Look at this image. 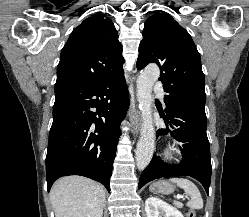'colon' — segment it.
Instances as JSON below:
<instances>
[{"instance_id": "1", "label": "colon", "mask_w": 249, "mask_h": 217, "mask_svg": "<svg viewBox=\"0 0 249 217\" xmlns=\"http://www.w3.org/2000/svg\"><path fill=\"white\" fill-rule=\"evenodd\" d=\"M187 217H196V214H195V212L193 210H189L187 212Z\"/></svg>"}]
</instances>
